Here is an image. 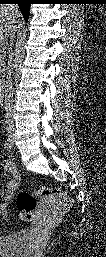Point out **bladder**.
<instances>
[{
  "mask_svg": "<svg viewBox=\"0 0 106 257\" xmlns=\"http://www.w3.org/2000/svg\"><path fill=\"white\" fill-rule=\"evenodd\" d=\"M30 242L31 234L26 230L3 235L0 237V255L2 257H26Z\"/></svg>",
  "mask_w": 106,
  "mask_h": 257,
  "instance_id": "1",
  "label": "bladder"
}]
</instances>
